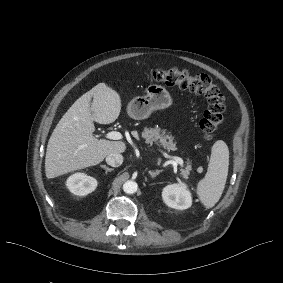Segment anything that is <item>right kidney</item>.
<instances>
[{"mask_svg": "<svg viewBox=\"0 0 283 283\" xmlns=\"http://www.w3.org/2000/svg\"><path fill=\"white\" fill-rule=\"evenodd\" d=\"M66 186L74 195L85 196L96 189L97 180L84 173H75L67 179Z\"/></svg>", "mask_w": 283, "mask_h": 283, "instance_id": "ca27d5eb", "label": "right kidney"}]
</instances>
